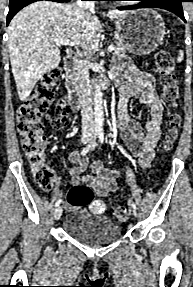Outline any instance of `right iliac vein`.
I'll use <instances>...</instances> for the list:
<instances>
[{
	"instance_id": "1",
	"label": "right iliac vein",
	"mask_w": 193,
	"mask_h": 287,
	"mask_svg": "<svg viewBox=\"0 0 193 287\" xmlns=\"http://www.w3.org/2000/svg\"><path fill=\"white\" fill-rule=\"evenodd\" d=\"M88 142V139H83V144H86ZM62 215V207L57 206L55 211H54V218L57 220L61 217Z\"/></svg>"
}]
</instances>
